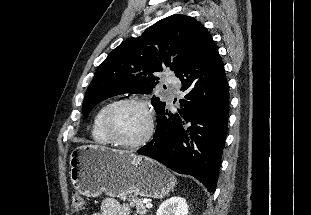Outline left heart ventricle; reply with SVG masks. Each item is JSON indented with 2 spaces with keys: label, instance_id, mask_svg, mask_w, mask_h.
Segmentation results:
<instances>
[{
  "label": "left heart ventricle",
  "instance_id": "left-heart-ventricle-1",
  "mask_svg": "<svg viewBox=\"0 0 311 215\" xmlns=\"http://www.w3.org/2000/svg\"><path fill=\"white\" fill-rule=\"evenodd\" d=\"M113 128L122 140L135 142L141 139L147 131V113L137 105L123 106L114 115Z\"/></svg>",
  "mask_w": 311,
  "mask_h": 215
}]
</instances>
